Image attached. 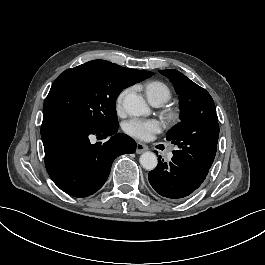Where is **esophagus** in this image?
<instances>
[{"label": "esophagus", "mask_w": 265, "mask_h": 265, "mask_svg": "<svg viewBox=\"0 0 265 265\" xmlns=\"http://www.w3.org/2000/svg\"><path fill=\"white\" fill-rule=\"evenodd\" d=\"M149 148L147 145H145L144 143L141 142H137V146H136V153L137 154H141L144 151H147Z\"/></svg>", "instance_id": "obj_1"}]
</instances>
